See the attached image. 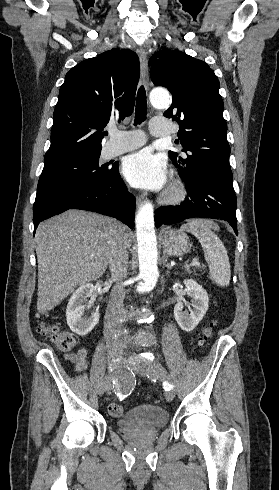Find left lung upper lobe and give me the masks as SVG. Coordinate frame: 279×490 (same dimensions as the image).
Returning <instances> with one entry per match:
<instances>
[{
    "mask_svg": "<svg viewBox=\"0 0 279 490\" xmlns=\"http://www.w3.org/2000/svg\"><path fill=\"white\" fill-rule=\"evenodd\" d=\"M151 80L172 93L171 107L164 116L180 125L177 143L186 156L169 155L182 178L211 171L232 177L227 124L223 100L214 71L203 61L179 50L164 49L149 60Z\"/></svg>",
    "mask_w": 279,
    "mask_h": 490,
    "instance_id": "1",
    "label": "left lung upper lobe"
}]
</instances>
